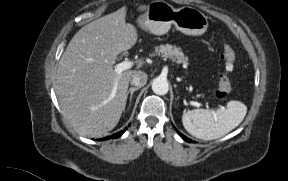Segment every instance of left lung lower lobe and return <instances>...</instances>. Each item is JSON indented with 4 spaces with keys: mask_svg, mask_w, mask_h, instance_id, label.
I'll return each mask as SVG.
<instances>
[{
    "mask_svg": "<svg viewBox=\"0 0 288 181\" xmlns=\"http://www.w3.org/2000/svg\"><path fill=\"white\" fill-rule=\"evenodd\" d=\"M175 130L177 131V133H178L185 141H187V142H189V143L192 142L191 139H189V138H187L186 136H184L183 134H181L176 128H175Z\"/></svg>",
    "mask_w": 288,
    "mask_h": 181,
    "instance_id": "0a47b994",
    "label": "left lung lower lobe"
}]
</instances>
